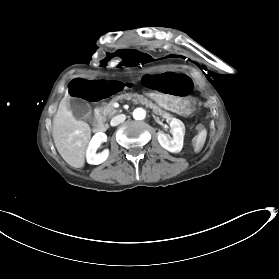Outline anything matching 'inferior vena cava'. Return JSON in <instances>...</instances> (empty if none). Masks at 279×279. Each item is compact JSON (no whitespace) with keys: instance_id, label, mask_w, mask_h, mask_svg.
Segmentation results:
<instances>
[{"instance_id":"inferior-vena-cava-1","label":"inferior vena cava","mask_w":279,"mask_h":279,"mask_svg":"<svg viewBox=\"0 0 279 279\" xmlns=\"http://www.w3.org/2000/svg\"><path fill=\"white\" fill-rule=\"evenodd\" d=\"M126 116L124 114L118 115L116 117H114L111 120L112 125L111 126H117L118 124H120L121 122H124Z\"/></svg>"}]
</instances>
